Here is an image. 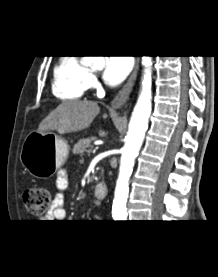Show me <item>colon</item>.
<instances>
[{
    "mask_svg": "<svg viewBox=\"0 0 218 277\" xmlns=\"http://www.w3.org/2000/svg\"><path fill=\"white\" fill-rule=\"evenodd\" d=\"M51 204V192L48 188L33 186L24 191V205L27 212L34 216L44 215Z\"/></svg>",
    "mask_w": 218,
    "mask_h": 277,
    "instance_id": "obj_1",
    "label": "colon"
}]
</instances>
